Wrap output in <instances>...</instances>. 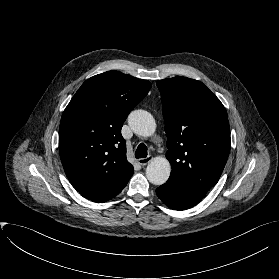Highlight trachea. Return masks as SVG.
Wrapping results in <instances>:
<instances>
[{
  "instance_id": "trachea-1",
  "label": "trachea",
  "mask_w": 279,
  "mask_h": 279,
  "mask_svg": "<svg viewBox=\"0 0 279 279\" xmlns=\"http://www.w3.org/2000/svg\"><path fill=\"white\" fill-rule=\"evenodd\" d=\"M147 154V146L144 143L139 144L135 151V158H146Z\"/></svg>"
}]
</instances>
